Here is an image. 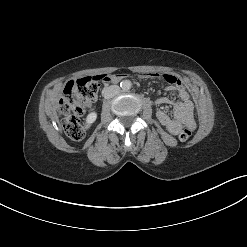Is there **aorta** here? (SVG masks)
I'll use <instances>...</instances> for the list:
<instances>
[{"instance_id":"762f6f07","label":"aorta","mask_w":247,"mask_h":247,"mask_svg":"<svg viewBox=\"0 0 247 247\" xmlns=\"http://www.w3.org/2000/svg\"><path fill=\"white\" fill-rule=\"evenodd\" d=\"M131 82L129 80H123L120 83V86L122 88L123 91H128L131 88Z\"/></svg>"}]
</instances>
